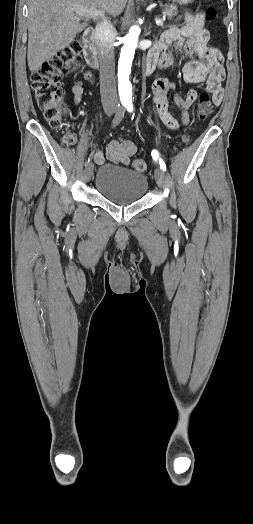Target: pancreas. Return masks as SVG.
Instances as JSON below:
<instances>
[{"instance_id":"cf45deb5","label":"pancreas","mask_w":253,"mask_h":524,"mask_svg":"<svg viewBox=\"0 0 253 524\" xmlns=\"http://www.w3.org/2000/svg\"><path fill=\"white\" fill-rule=\"evenodd\" d=\"M163 15H167L169 18H172L177 15V9L173 5H166L163 11Z\"/></svg>"}]
</instances>
